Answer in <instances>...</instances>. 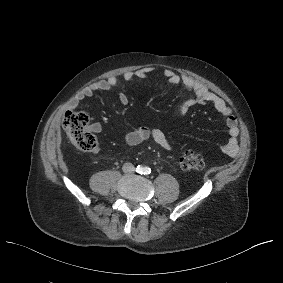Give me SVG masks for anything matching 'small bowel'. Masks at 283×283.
<instances>
[{
    "mask_svg": "<svg viewBox=\"0 0 283 283\" xmlns=\"http://www.w3.org/2000/svg\"><path fill=\"white\" fill-rule=\"evenodd\" d=\"M152 70L153 68L151 67H145L135 71H129L124 74L123 78L125 81L145 79L151 74ZM163 76L169 84H181L186 89L193 91V96L185 100L182 104L184 113L196 105H211L222 117H224L228 128L229 138L222 146L221 150L226 156H236L239 151V126L236 117L232 114L230 106L201 82L188 75H180L171 69H167L163 72ZM117 83V77L111 76L106 80L87 86L72 99L71 107H78L86 98L93 96L96 92L110 91L117 85ZM118 100L122 105H126L129 102L128 96L124 93L119 95ZM89 130L92 133L98 134L102 130L101 124L98 122L92 123ZM123 138L125 143L129 146H135L148 139H152L157 145L165 150L170 151L173 149L166 134L158 128H149L145 126L139 127L133 131L125 133Z\"/></svg>",
    "mask_w": 283,
    "mask_h": 283,
    "instance_id": "c3829d8e",
    "label": "small bowel"
}]
</instances>
